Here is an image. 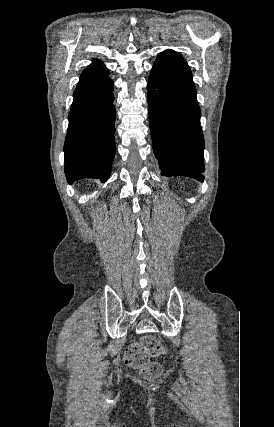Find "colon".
I'll use <instances>...</instances> for the list:
<instances>
[{
    "mask_svg": "<svg viewBox=\"0 0 274 427\" xmlns=\"http://www.w3.org/2000/svg\"><path fill=\"white\" fill-rule=\"evenodd\" d=\"M166 352L161 342L154 337H144L130 344L124 353L125 363L147 377H159L163 367L157 363H151V359Z\"/></svg>",
    "mask_w": 274,
    "mask_h": 427,
    "instance_id": "colon-1",
    "label": "colon"
}]
</instances>
